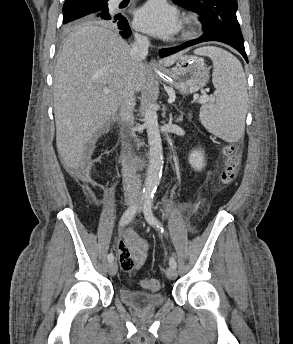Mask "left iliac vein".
<instances>
[{
    "label": "left iliac vein",
    "instance_id": "1",
    "mask_svg": "<svg viewBox=\"0 0 293 344\" xmlns=\"http://www.w3.org/2000/svg\"><path fill=\"white\" fill-rule=\"evenodd\" d=\"M139 210H140V208H139ZM166 276L170 280L176 279L177 278V271H176V269L173 268V267H168L166 269Z\"/></svg>",
    "mask_w": 293,
    "mask_h": 344
}]
</instances>
